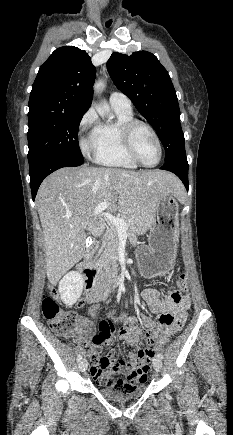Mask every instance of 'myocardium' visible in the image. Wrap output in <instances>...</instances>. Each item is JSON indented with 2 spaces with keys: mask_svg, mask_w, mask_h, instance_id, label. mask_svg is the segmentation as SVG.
I'll list each match as a JSON object with an SVG mask.
<instances>
[{
  "mask_svg": "<svg viewBox=\"0 0 233 435\" xmlns=\"http://www.w3.org/2000/svg\"><path fill=\"white\" fill-rule=\"evenodd\" d=\"M143 126L145 127L152 137L155 140L159 151L158 161L153 165L145 164L137 154L134 142H133V134L137 127ZM121 137L124 144V148L128 154V156L138 165L145 168H154L159 165L163 157V148L160 141V138L156 132V130L147 122L140 119H132L126 123H124L121 127Z\"/></svg>",
  "mask_w": 233,
  "mask_h": 435,
  "instance_id": "obj_1",
  "label": "myocardium"
}]
</instances>
